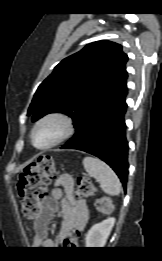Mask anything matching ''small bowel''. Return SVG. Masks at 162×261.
Returning a JSON list of instances; mask_svg holds the SVG:
<instances>
[{
  "instance_id": "obj_1",
  "label": "small bowel",
  "mask_w": 162,
  "mask_h": 261,
  "mask_svg": "<svg viewBox=\"0 0 162 261\" xmlns=\"http://www.w3.org/2000/svg\"><path fill=\"white\" fill-rule=\"evenodd\" d=\"M74 181L68 175H62L51 191V196L44 201V207L37 221L34 246L51 249L55 247L52 239L45 236L46 228L57 213L61 202L62 225L59 233L60 240H66L74 231L84 229L89 219V208L85 201L77 200L73 196Z\"/></svg>"
}]
</instances>
